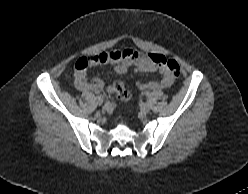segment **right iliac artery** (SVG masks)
Segmentation results:
<instances>
[{"mask_svg":"<svg viewBox=\"0 0 248 194\" xmlns=\"http://www.w3.org/2000/svg\"><path fill=\"white\" fill-rule=\"evenodd\" d=\"M96 98H101L100 96H97Z\"/></svg>","mask_w":248,"mask_h":194,"instance_id":"right-iliac-artery-1","label":"right iliac artery"}]
</instances>
